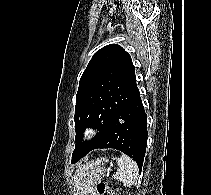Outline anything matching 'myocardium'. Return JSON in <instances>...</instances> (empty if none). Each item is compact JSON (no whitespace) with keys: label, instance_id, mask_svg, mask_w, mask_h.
Masks as SVG:
<instances>
[{"label":"myocardium","instance_id":"f54148a6","mask_svg":"<svg viewBox=\"0 0 211 195\" xmlns=\"http://www.w3.org/2000/svg\"><path fill=\"white\" fill-rule=\"evenodd\" d=\"M97 132V125L94 123L88 124L84 130H83V135L85 137H91Z\"/></svg>","mask_w":211,"mask_h":195}]
</instances>
